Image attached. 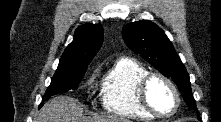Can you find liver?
<instances>
[{"label": "liver", "mask_w": 221, "mask_h": 122, "mask_svg": "<svg viewBox=\"0 0 221 122\" xmlns=\"http://www.w3.org/2000/svg\"><path fill=\"white\" fill-rule=\"evenodd\" d=\"M35 122H130L121 117L83 116L81 103L69 96H58L45 105Z\"/></svg>", "instance_id": "liver-1"}]
</instances>
